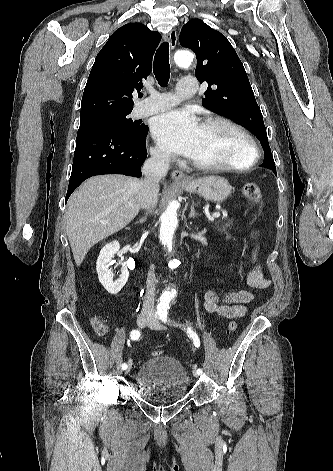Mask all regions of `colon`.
<instances>
[{"instance_id": "colon-1", "label": "colon", "mask_w": 333, "mask_h": 471, "mask_svg": "<svg viewBox=\"0 0 333 471\" xmlns=\"http://www.w3.org/2000/svg\"><path fill=\"white\" fill-rule=\"evenodd\" d=\"M242 193L247 199L252 201L254 204L262 206V192L257 184L246 183L242 188ZM93 326L98 335L103 336L106 333L107 327L103 320L95 318L93 320ZM228 329L230 332H234L237 329V323L235 321H231L228 325ZM161 354V351H153L151 353L152 356H160Z\"/></svg>"}]
</instances>
